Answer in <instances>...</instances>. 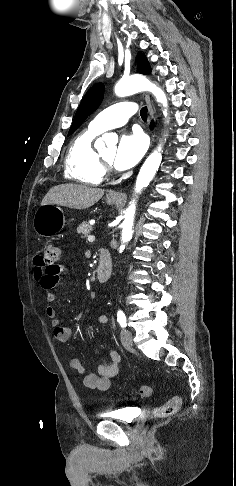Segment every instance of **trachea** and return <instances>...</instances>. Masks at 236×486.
I'll return each instance as SVG.
<instances>
[{"instance_id":"trachea-1","label":"trachea","mask_w":236,"mask_h":486,"mask_svg":"<svg viewBox=\"0 0 236 486\" xmlns=\"http://www.w3.org/2000/svg\"><path fill=\"white\" fill-rule=\"evenodd\" d=\"M147 112H148L147 107H143V108L141 109V111H140V116H141V118H142L143 120H146V118H147Z\"/></svg>"}]
</instances>
